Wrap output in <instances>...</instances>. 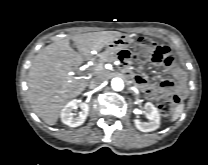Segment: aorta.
Wrapping results in <instances>:
<instances>
[{
    "label": "aorta",
    "mask_w": 208,
    "mask_h": 165,
    "mask_svg": "<svg viewBox=\"0 0 208 165\" xmlns=\"http://www.w3.org/2000/svg\"><path fill=\"white\" fill-rule=\"evenodd\" d=\"M111 86L115 91H121L124 88V82L121 78H113L111 81Z\"/></svg>",
    "instance_id": "762f6f07"
}]
</instances>
